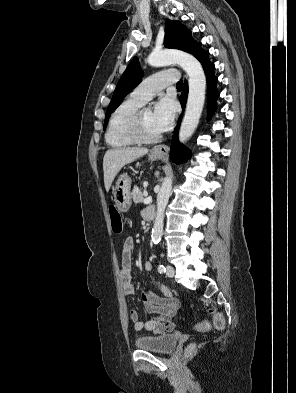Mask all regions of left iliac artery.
<instances>
[{
  "label": "left iliac artery",
  "mask_w": 296,
  "mask_h": 393,
  "mask_svg": "<svg viewBox=\"0 0 296 393\" xmlns=\"http://www.w3.org/2000/svg\"><path fill=\"white\" fill-rule=\"evenodd\" d=\"M158 272H159L160 274H163V273L166 272V268H165V266H164L163 264H159V265H158Z\"/></svg>",
  "instance_id": "obj_1"
}]
</instances>
